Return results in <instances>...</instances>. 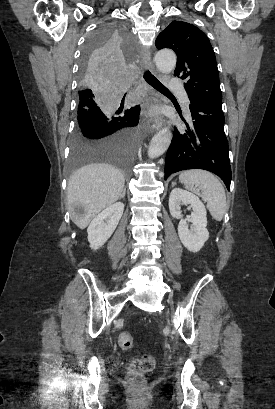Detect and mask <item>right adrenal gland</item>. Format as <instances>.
Returning <instances> with one entry per match:
<instances>
[{
  "mask_svg": "<svg viewBox=\"0 0 275 409\" xmlns=\"http://www.w3.org/2000/svg\"><path fill=\"white\" fill-rule=\"evenodd\" d=\"M125 192H126V188H125V186H124V188H123V192H122L121 196H119V198H124V196H125Z\"/></svg>",
  "mask_w": 275,
  "mask_h": 409,
  "instance_id": "right-adrenal-gland-1",
  "label": "right adrenal gland"
}]
</instances>
